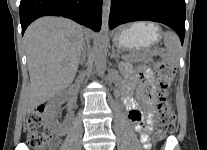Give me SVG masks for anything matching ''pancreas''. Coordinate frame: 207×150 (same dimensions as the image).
Segmentation results:
<instances>
[{"label": "pancreas", "instance_id": "cf45deb5", "mask_svg": "<svg viewBox=\"0 0 207 150\" xmlns=\"http://www.w3.org/2000/svg\"><path fill=\"white\" fill-rule=\"evenodd\" d=\"M153 52L145 51L143 53L128 54L125 56L126 60L138 62H150L152 60Z\"/></svg>", "mask_w": 207, "mask_h": 150}]
</instances>
